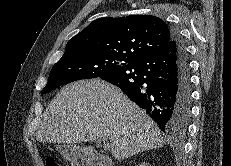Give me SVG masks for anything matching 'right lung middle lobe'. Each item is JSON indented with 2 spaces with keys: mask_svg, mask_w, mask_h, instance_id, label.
Returning a JSON list of instances; mask_svg holds the SVG:
<instances>
[{
  "mask_svg": "<svg viewBox=\"0 0 231 166\" xmlns=\"http://www.w3.org/2000/svg\"><path fill=\"white\" fill-rule=\"evenodd\" d=\"M129 62L126 59L94 51H78L63 55L51 69L48 82L41 95L73 81L98 78Z\"/></svg>",
  "mask_w": 231,
  "mask_h": 166,
  "instance_id": "dd1d6c3e",
  "label": "right lung middle lobe"
}]
</instances>
